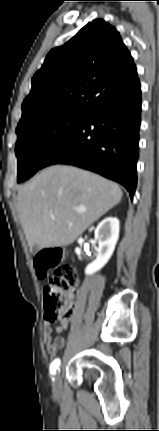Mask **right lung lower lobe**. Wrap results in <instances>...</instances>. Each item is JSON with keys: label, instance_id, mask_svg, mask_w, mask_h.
<instances>
[{"label": "right lung lower lobe", "instance_id": "right-lung-lower-lobe-1", "mask_svg": "<svg viewBox=\"0 0 159 431\" xmlns=\"http://www.w3.org/2000/svg\"><path fill=\"white\" fill-rule=\"evenodd\" d=\"M139 80L102 102L45 158L43 166L70 164L101 174L135 193L141 123Z\"/></svg>", "mask_w": 159, "mask_h": 431}]
</instances>
